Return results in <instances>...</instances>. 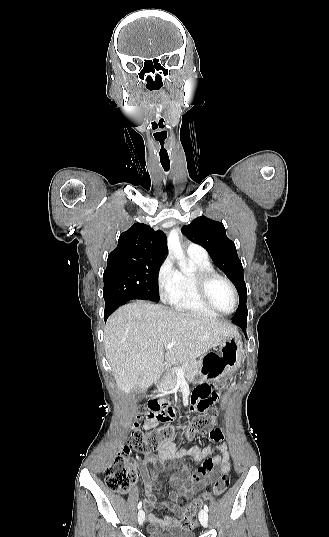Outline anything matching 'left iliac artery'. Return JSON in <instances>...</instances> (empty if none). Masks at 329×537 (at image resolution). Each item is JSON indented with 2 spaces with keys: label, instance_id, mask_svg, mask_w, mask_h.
Instances as JSON below:
<instances>
[{
  "label": "left iliac artery",
  "instance_id": "obj_1",
  "mask_svg": "<svg viewBox=\"0 0 329 537\" xmlns=\"http://www.w3.org/2000/svg\"><path fill=\"white\" fill-rule=\"evenodd\" d=\"M204 510H205L206 512L209 511L208 506H207L206 504L204 505Z\"/></svg>",
  "mask_w": 329,
  "mask_h": 537
}]
</instances>
